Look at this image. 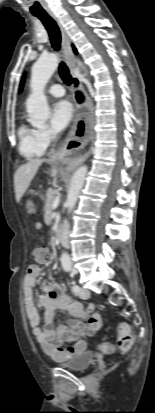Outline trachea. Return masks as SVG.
I'll use <instances>...</instances> for the list:
<instances>
[{"label":"trachea","instance_id":"obj_1","mask_svg":"<svg viewBox=\"0 0 155 413\" xmlns=\"http://www.w3.org/2000/svg\"><path fill=\"white\" fill-rule=\"evenodd\" d=\"M33 15L42 21V23L44 24L45 28L48 31L52 47L56 51H58L60 49L61 33H60L59 27L57 26L55 20L52 17H50L48 13H36ZM59 74L62 80L67 85H70L72 83V77L64 62L60 63Z\"/></svg>","mask_w":155,"mask_h":413}]
</instances>
